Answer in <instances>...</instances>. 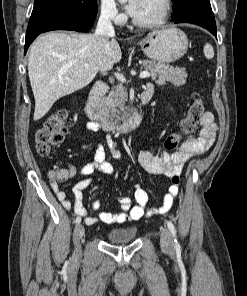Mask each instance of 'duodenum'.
Here are the masks:
<instances>
[{"mask_svg":"<svg viewBox=\"0 0 247 296\" xmlns=\"http://www.w3.org/2000/svg\"><path fill=\"white\" fill-rule=\"evenodd\" d=\"M108 91V85L104 81H98L92 87L85 105V112L89 119L98 122L107 132L119 131L122 133H130L136 129L142 121V113L139 110H134L130 115L122 121L116 122L110 120L101 110L100 101ZM153 95V89L147 88L140 95V104L146 105L149 103Z\"/></svg>","mask_w":247,"mask_h":296,"instance_id":"obj_1","label":"duodenum"}]
</instances>
